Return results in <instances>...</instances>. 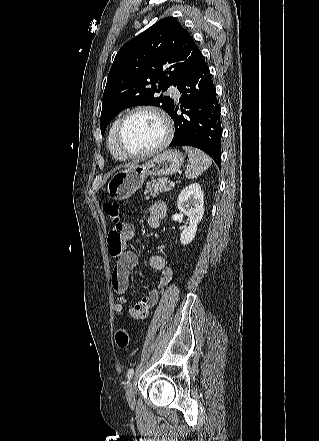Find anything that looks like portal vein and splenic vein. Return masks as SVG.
<instances>
[{"instance_id":"obj_1","label":"portal vein and splenic vein","mask_w":319,"mask_h":441,"mask_svg":"<svg viewBox=\"0 0 319 441\" xmlns=\"http://www.w3.org/2000/svg\"><path fill=\"white\" fill-rule=\"evenodd\" d=\"M169 186H170V187H174V186H175V182H170V183H169Z\"/></svg>"}]
</instances>
